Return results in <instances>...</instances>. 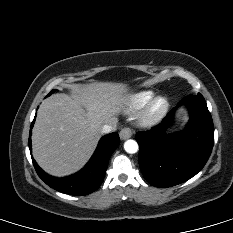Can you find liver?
Here are the masks:
<instances>
[{"label": "liver", "mask_w": 233, "mask_h": 233, "mask_svg": "<svg viewBox=\"0 0 233 233\" xmlns=\"http://www.w3.org/2000/svg\"><path fill=\"white\" fill-rule=\"evenodd\" d=\"M123 83L100 82L76 87L75 96L57 93L40 106L32 132L33 157L48 174L64 177L80 170L101 137V128L127 102Z\"/></svg>", "instance_id": "6515ba94"}]
</instances>
